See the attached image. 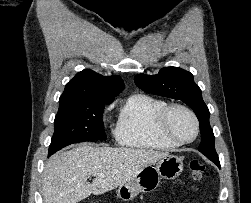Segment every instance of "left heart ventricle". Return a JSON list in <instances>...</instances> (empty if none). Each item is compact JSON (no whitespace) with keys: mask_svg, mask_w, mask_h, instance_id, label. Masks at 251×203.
<instances>
[{"mask_svg":"<svg viewBox=\"0 0 251 203\" xmlns=\"http://www.w3.org/2000/svg\"><path fill=\"white\" fill-rule=\"evenodd\" d=\"M169 131L179 139H189L195 132L191 116L182 109H174L169 117Z\"/></svg>","mask_w":251,"mask_h":203,"instance_id":"1","label":"left heart ventricle"}]
</instances>
